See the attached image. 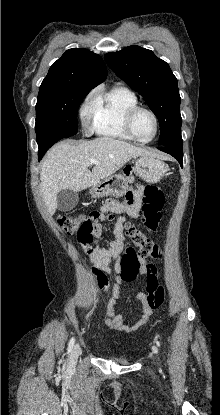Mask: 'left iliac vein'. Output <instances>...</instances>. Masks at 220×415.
I'll list each match as a JSON object with an SVG mask.
<instances>
[{
    "instance_id": "4c4485c4",
    "label": "left iliac vein",
    "mask_w": 220,
    "mask_h": 415,
    "mask_svg": "<svg viewBox=\"0 0 220 415\" xmlns=\"http://www.w3.org/2000/svg\"><path fill=\"white\" fill-rule=\"evenodd\" d=\"M152 352H153L154 354H157L158 349H157V347H156V346H153V347H152Z\"/></svg>"
}]
</instances>
